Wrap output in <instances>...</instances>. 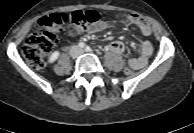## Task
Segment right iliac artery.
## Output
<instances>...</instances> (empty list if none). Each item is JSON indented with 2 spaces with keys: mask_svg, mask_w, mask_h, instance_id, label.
Returning a JSON list of instances; mask_svg holds the SVG:
<instances>
[{
  "mask_svg": "<svg viewBox=\"0 0 194 133\" xmlns=\"http://www.w3.org/2000/svg\"><path fill=\"white\" fill-rule=\"evenodd\" d=\"M78 46H79L80 48H85V43L80 42V43L78 44Z\"/></svg>",
  "mask_w": 194,
  "mask_h": 133,
  "instance_id": "1",
  "label": "right iliac artery"
}]
</instances>
